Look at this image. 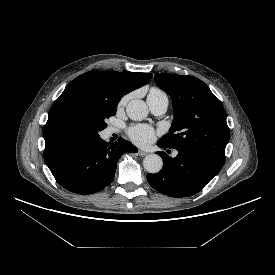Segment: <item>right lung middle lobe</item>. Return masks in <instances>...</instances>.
<instances>
[{
  "label": "right lung middle lobe",
  "instance_id": "obj_1",
  "mask_svg": "<svg viewBox=\"0 0 275 275\" xmlns=\"http://www.w3.org/2000/svg\"><path fill=\"white\" fill-rule=\"evenodd\" d=\"M118 102L94 97L74 100L63 107L55 120L57 132L64 137H96L114 116Z\"/></svg>",
  "mask_w": 275,
  "mask_h": 275
}]
</instances>
